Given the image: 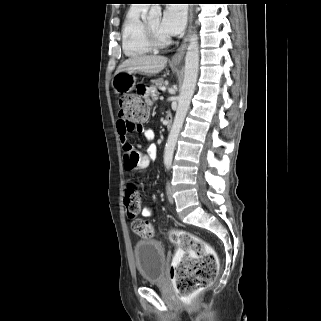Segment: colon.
I'll return each mask as SVG.
<instances>
[{
    "label": "colon",
    "instance_id": "1",
    "mask_svg": "<svg viewBox=\"0 0 321 321\" xmlns=\"http://www.w3.org/2000/svg\"><path fill=\"white\" fill-rule=\"evenodd\" d=\"M119 118L131 131H141L148 119V108L138 96H124L119 101ZM147 158L138 151L132 152L125 159L129 170L146 167ZM125 208L127 215L134 218L140 209V192L134 184L125 188ZM135 234L152 237L154 226L145 220H135L132 224ZM170 239L179 247L171 266V278L176 292L181 299H189L208 287L216 278L219 262L216 253L204 240L188 231L174 229Z\"/></svg>",
    "mask_w": 321,
    "mask_h": 321
}]
</instances>
